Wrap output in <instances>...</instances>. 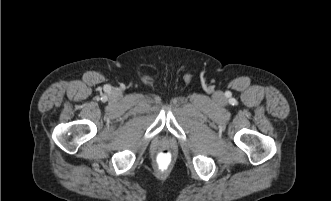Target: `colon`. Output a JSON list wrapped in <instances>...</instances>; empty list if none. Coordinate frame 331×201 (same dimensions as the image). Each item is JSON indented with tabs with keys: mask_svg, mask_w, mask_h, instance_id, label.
I'll return each mask as SVG.
<instances>
[{
	"mask_svg": "<svg viewBox=\"0 0 331 201\" xmlns=\"http://www.w3.org/2000/svg\"><path fill=\"white\" fill-rule=\"evenodd\" d=\"M155 166L160 172H167L173 168L174 156L167 148H162L155 155Z\"/></svg>",
	"mask_w": 331,
	"mask_h": 201,
	"instance_id": "1",
	"label": "colon"
}]
</instances>
